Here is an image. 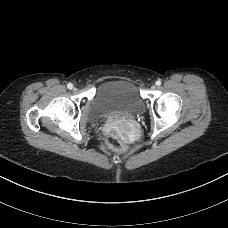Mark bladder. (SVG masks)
<instances>
[{
    "instance_id": "bladder-1",
    "label": "bladder",
    "mask_w": 228,
    "mask_h": 228,
    "mask_svg": "<svg viewBox=\"0 0 228 228\" xmlns=\"http://www.w3.org/2000/svg\"><path fill=\"white\" fill-rule=\"evenodd\" d=\"M144 100L137 86L130 80L120 79L103 83L94 96L91 114L94 118L109 115L139 113Z\"/></svg>"
}]
</instances>
